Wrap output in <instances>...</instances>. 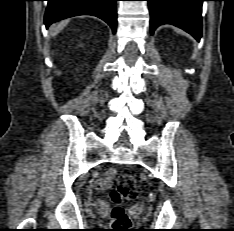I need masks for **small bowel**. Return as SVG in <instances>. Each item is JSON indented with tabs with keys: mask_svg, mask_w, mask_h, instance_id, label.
Segmentation results:
<instances>
[{
	"mask_svg": "<svg viewBox=\"0 0 234 231\" xmlns=\"http://www.w3.org/2000/svg\"><path fill=\"white\" fill-rule=\"evenodd\" d=\"M116 172L113 169L108 170L104 177L99 178L95 181V188L98 191H104L111 187L112 182L115 178Z\"/></svg>",
	"mask_w": 234,
	"mask_h": 231,
	"instance_id": "c3829d8e",
	"label": "small bowel"
}]
</instances>
